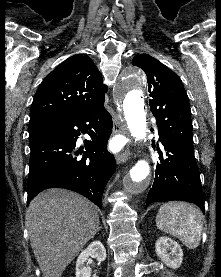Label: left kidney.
<instances>
[{
  "label": "left kidney",
  "instance_id": "1",
  "mask_svg": "<svg viewBox=\"0 0 221 277\" xmlns=\"http://www.w3.org/2000/svg\"><path fill=\"white\" fill-rule=\"evenodd\" d=\"M155 251L166 266L173 269H177L181 266L183 251L175 240L167 236L159 237L155 243Z\"/></svg>",
  "mask_w": 221,
  "mask_h": 277
}]
</instances>
